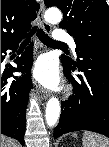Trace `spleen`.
<instances>
[{
	"mask_svg": "<svg viewBox=\"0 0 109 147\" xmlns=\"http://www.w3.org/2000/svg\"><path fill=\"white\" fill-rule=\"evenodd\" d=\"M83 147H109V139L100 134L86 131L83 134Z\"/></svg>",
	"mask_w": 109,
	"mask_h": 147,
	"instance_id": "spleen-1",
	"label": "spleen"
}]
</instances>
